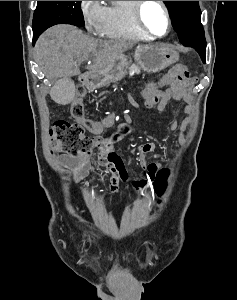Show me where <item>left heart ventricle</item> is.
<instances>
[{"instance_id":"b2bd125f","label":"left heart ventricle","mask_w":237,"mask_h":300,"mask_svg":"<svg viewBox=\"0 0 237 300\" xmlns=\"http://www.w3.org/2000/svg\"><path fill=\"white\" fill-rule=\"evenodd\" d=\"M143 19L147 27L157 35H163L167 24L162 7L157 1H148L143 11Z\"/></svg>"}]
</instances>
